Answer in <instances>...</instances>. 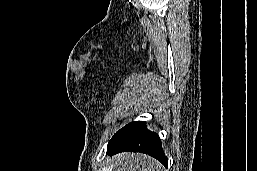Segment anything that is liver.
Wrapping results in <instances>:
<instances>
[{"mask_svg":"<svg viewBox=\"0 0 257 171\" xmlns=\"http://www.w3.org/2000/svg\"><path fill=\"white\" fill-rule=\"evenodd\" d=\"M112 161L115 171H164L160 162L141 153H121Z\"/></svg>","mask_w":257,"mask_h":171,"instance_id":"obj_1","label":"liver"}]
</instances>
